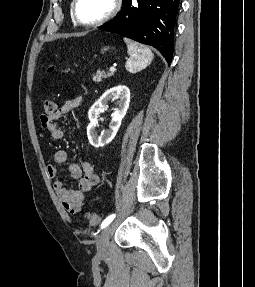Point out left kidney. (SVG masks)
<instances>
[{"label": "left kidney", "mask_w": 255, "mask_h": 287, "mask_svg": "<svg viewBox=\"0 0 255 287\" xmlns=\"http://www.w3.org/2000/svg\"><path fill=\"white\" fill-rule=\"evenodd\" d=\"M109 100H117V108L112 114L109 130H105V132H102V134L98 136L95 130L96 126H99L98 114H100L102 108H106V104ZM129 104L130 90L127 86H115V88H110V90L104 92L103 96L93 104L88 112L90 124L87 126V136L91 145H94V147H103V145L112 142L121 126Z\"/></svg>", "instance_id": "obj_1"}]
</instances>
